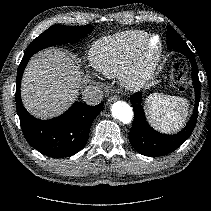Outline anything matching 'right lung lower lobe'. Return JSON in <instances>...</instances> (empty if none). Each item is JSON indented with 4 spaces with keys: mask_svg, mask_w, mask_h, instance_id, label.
I'll return each mask as SVG.
<instances>
[{
    "mask_svg": "<svg viewBox=\"0 0 211 211\" xmlns=\"http://www.w3.org/2000/svg\"><path fill=\"white\" fill-rule=\"evenodd\" d=\"M29 58L24 56L18 67L15 93L24 137L30 146L46 156H72L85 146L94 118L103 111V103L96 106L74 103L64 114L50 120L33 117L24 108L20 97L21 78Z\"/></svg>",
    "mask_w": 211,
    "mask_h": 211,
    "instance_id": "right-lung-lower-lobe-1",
    "label": "right lung lower lobe"
}]
</instances>
